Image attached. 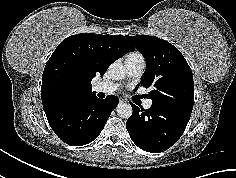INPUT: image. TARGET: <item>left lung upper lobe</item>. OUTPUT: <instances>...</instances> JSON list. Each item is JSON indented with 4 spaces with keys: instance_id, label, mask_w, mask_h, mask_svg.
<instances>
[{
    "instance_id": "5c2ea615",
    "label": "left lung upper lobe",
    "mask_w": 236,
    "mask_h": 178,
    "mask_svg": "<svg viewBox=\"0 0 236 178\" xmlns=\"http://www.w3.org/2000/svg\"><path fill=\"white\" fill-rule=\"evenodd\" d=\"M146 59L141 84L151 91L153 104L191 113L194 104L192 71L179 50L166 40L148 36H127Z\"/></svg>"
}]
</instances>
